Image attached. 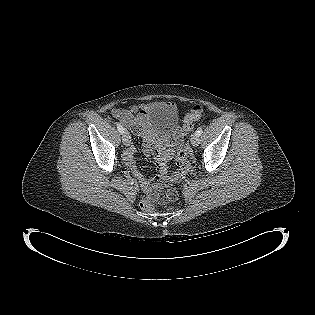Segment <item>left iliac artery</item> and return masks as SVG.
<instances>
[{
    "instance_id": "1",
    "label": "left iliac artery",
    "mask_w": 315,
    "mask_h": 315,
    "mask_svg": "<svg viewBox=\"0 0 315 315\" xmlns=\"http://www.w3.org/2000/svg\"><path fill=\"white\" fill-rule=\"evenodd\" d=\"M202 132H203V130H202V128L200 127V128L197 129L196 134H197L198 136H200V135L202 134Z\"/></svg>"
}]
</instances>
